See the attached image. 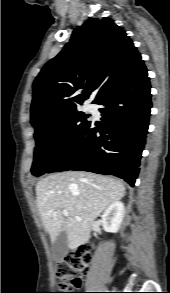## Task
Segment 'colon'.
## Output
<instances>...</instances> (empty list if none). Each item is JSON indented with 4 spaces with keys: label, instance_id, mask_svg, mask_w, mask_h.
<instances>
[{
    "label": "colon",
    "instance_id": "5ec220e1",
    "mask_svg": "<svg viewBox=\"0 0 170 293\" xmlns=\"http://www.w3.org/2000/svg\"><path fill=\"white\" fill-rule=\"evenodd\" d=\"M90 256L85 251H79L64 261L56 263V277L60 281V291H75L81 286L79 276L83 275L89 265ZM75 293V292H56Z\"/></svg>",
    "mask_w": 170,
    "mask_h": 293
}]
</instances>
